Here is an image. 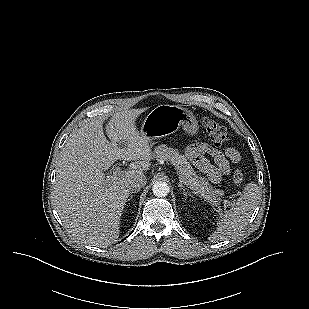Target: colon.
Segmentation results:
<instances>
[{
  "label": "colon",
  "mask_w": 309,
  "mask_h": 309,
  "mask_svg": "<svg viewBox=\"0 0 309 309\" xmlns=\"http://www.w3.org/2000/svg\"><path fill=\"white\" fill-rule=\"evenodd\" d=\"M203 127L209 138L217 145H224L229 140V135L226 128L211 119L203 120ZM246 177V171L243 168H238L234 171L233 181L235 184H241Z\"/></svg>",
  "instance_id": "5ec220e1"
}]
</instances>
